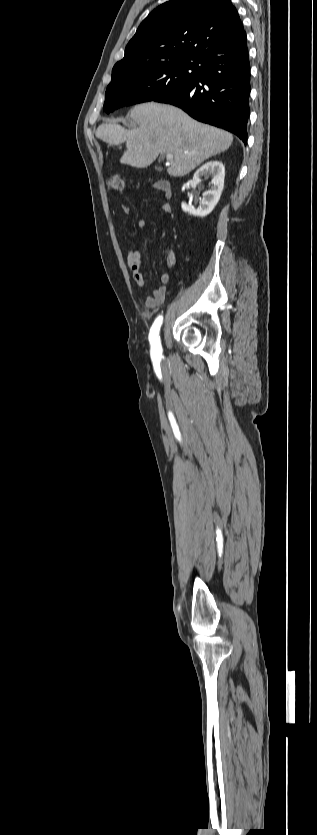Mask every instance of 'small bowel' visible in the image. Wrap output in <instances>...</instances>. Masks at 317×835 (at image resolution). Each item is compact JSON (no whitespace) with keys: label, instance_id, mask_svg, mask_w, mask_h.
Segmentation results:
<instances>
[{"label":"small bowel","instance_id":"small-bowel-1","mask_svg":"<svg viewBox=\"0 0 317 835\" xmlns=\"http://www.w3.org/2000/svg\"><path fill=\"white\" fill-rule=\"evenodd\" d=\"M160 182H157L154 185V187L159 192H162L166 198H170L168 193L166 191H164L163 189H161ZM144 202L149 203L150 199L145 198ZM159 207L166 213H170L171 210H172L171 206L167 203L161 204ZM123 210H124L125 213L128 212V208H126V207L123 208ZM146 226H147V221L145 219H140L137 222V229L138 230H144L146 228ZM141 262H142V260H141V250L139 248L131 249L127 254V265L129 267V269L132 271V276H133V279H134L136 285L139 288H144L145 285H146V282H145L144 276L141 272ZM176 263H177L176 254L173 251H169L166 255V269H167V271H165L161 275L160 285L157 288H155L150 295L146 296L145 306H146L147 309L155 310V309L159 308L164 303L165 298H166V294H167V286H168V283L170 281V275H169L168 271L171 270L176 265Z\"/></svg>","mask_w":317,"mask_h":835}]
</instances>
